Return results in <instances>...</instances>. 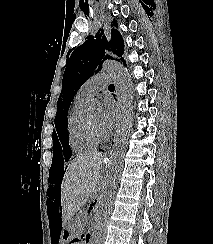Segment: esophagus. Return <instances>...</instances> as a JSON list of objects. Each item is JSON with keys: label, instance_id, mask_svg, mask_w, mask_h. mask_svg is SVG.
I'll list each match as a JSON object with an SVG mask.
<instances>
[{"label": "esophagus", "instance_id": "1", "mask_svg": "<svg viewBox=\"0 0 213 244\" xmlns=\"http://www.w3.org/2000/svg\"><path fill=\"white\" fill-rule=\"evenodd\" d=\"M116 116H117V118H119V113L118 112H117ZM112 148H113V143H111L109 145V147L107 148V150H106V156L109 155V153L112 151Z\"/></svg>", "mask_w": 213, "mask_h": 244}]
</instances>
